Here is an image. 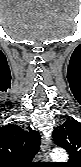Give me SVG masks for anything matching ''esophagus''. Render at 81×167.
Returning a JSON list of instances; mask_svg holds the SVG:
<instances>
[{
	"mask_svg": "<svg viewBox=\"0 0 81 167\" xmlns=\"http://www.w3.org/2000/svg\"><path fill=\"white\" fill-rule=\"evenodd\" d=\"M41 149H42L43 160L45 162L49 161L50 142L48 139H46V138L42 139Z\"/></svg>",
	"mask_w": 81,
	"mask_h": 167,
	"instance_id": "34e87169",
	"label": "esophagus"
}]
</instances>
